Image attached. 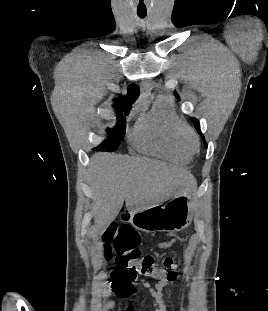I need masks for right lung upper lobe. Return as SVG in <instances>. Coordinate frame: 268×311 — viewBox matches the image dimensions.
I'll use <instances>...</instances> for the list:
<instances>
[{
    "label": "right lung upper lobe",
    "instance_id": "right-lung-upper-lobe-1",
    "mask_svg": "<svg viewBox=\"0 0 268 311\" xmlns=\"http://www.w3.org/2000/svg\"><path fill=\"white\" fill-rule=\"evenodd\" d=\"M139 96V87L137 85H131L128 87L127 95L115 100L118 106H115L117 112H129L132 104Z\"/></svg>",
    "mask_w": 268,
    "mask_h": 311
}]
</instances>
